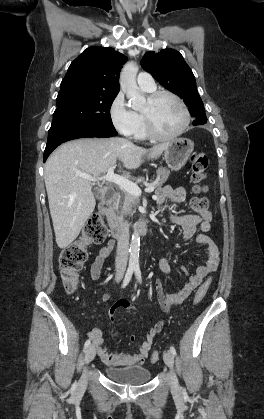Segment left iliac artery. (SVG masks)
Returning a JSON list of instances; mask_svg holds the SVG:
<instances>
[{
	"label": "left iliac artery",
	"mask_w": 264,
	"mask_h": 419,
	"mask_svg": "<svg viewBox=\"0 0 264 419\" xmlns=\"http://www.w3.org/2000/svg\"><path fill=\"white\" fill-rule=\"evenodd\" d=\"M134 270H135L136 278L141 283L142 282V277H141L140 268L139 267H136ZM170 352L173 354V356L176 355V350H175V348L173 346L170 347Z\"/></svg>",
	"instance_id": "left-iliac-artery-1"
}]
</instances>
